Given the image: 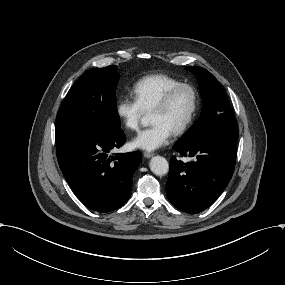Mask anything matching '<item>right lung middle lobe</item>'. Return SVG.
<instances>
[{"instance_id": "dd1d6c3e", "label": "right lung middle lobe", "mask_w": 285, "mask_h": 285, "mask_svg": "<svg viewBox=\"0 0 285 285\" xmlns=\"http://www.w3.org/2000/svg\"><path fill=\"white\" fill-rule=\"evenodd\" d=\"M117 67L111 65L85 72L69 90L55 122V131H120L116 108Z\"/></svg>"}]
</instances>
